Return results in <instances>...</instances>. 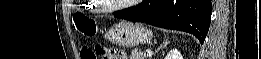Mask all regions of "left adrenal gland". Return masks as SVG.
<instances>
[{
	"label": "left adrenal gland",
	"instance_id": "a2214340",
	"mask_svg": "<svg viewBox=\"0 0 261 59\" xmlns=\"http://www.w3.org/2000/svg\"><path fill=\"white\" fill-rule=\"evenodd\" d=\"M168 44H169V42L167 40H164L163 44L161 46H159L157 48V50H155L154 54L157 53L159 50L165 48Z\"/></svg>",
	"mask_w": 261,
	"mask_h": 59
}]
</instances>
